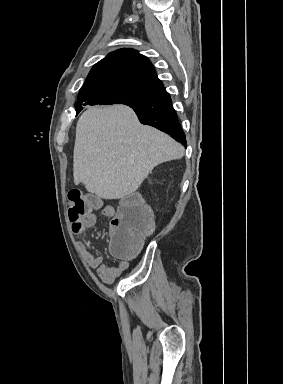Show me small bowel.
<instances>
[{
    "mask_svg": "<svg viewBox=\"0 0 283 384\" xmlns=\"http://www.w3.org/2000/svg\"><path fill=\"white\" fill-rule=\"evenodd\" d=\"M103 214L108 217H114L115 210L113 207L107 206L103 209ZM96 221V215L92 211H89L84 216L80 226L72 225L73 232L81 233L93 227L96 224ZM77 246L84 260L89 264L90 267L97 270L99 278L105 284L113 283L129 267V262L127 260L119 261L116 266H109L104 263V258L102 255L92 254L83 243L79 242Z\"/></svg>",
    "mask_w": 283,
    "mask_h": 384,
    "instance_id": "c3829d8e",
    "label": "small bowel"
}]
</instances>
